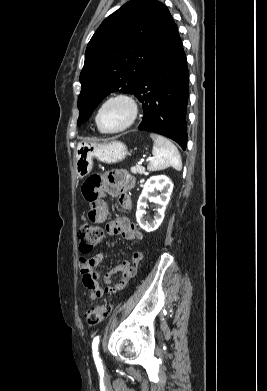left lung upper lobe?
Here are the masks:
<instances>
[{
	"label": "left lung upper lobe",
	"mask_w": 267,
	"mask_h": 391,
	"mask_svg": "<svg viewBox=\"0 0 267 391\" xmlns=\"http://www.w3.org/2000/svg\"><path fill=\"white\" fill-rule=\"evenodd\" d=\"M177 32L168 8L156 0H131L107 17L86 49L78 125L110 93L134 94L153 59Z\"/></svg>",
	"instance_id": "obj_1"
}]
</instances>
